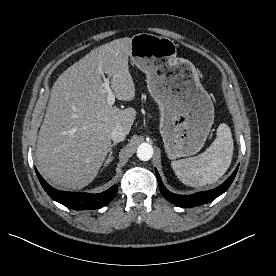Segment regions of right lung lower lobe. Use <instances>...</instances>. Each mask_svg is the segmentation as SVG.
I'll return each instance as SVG.
<instances>
[{
	"label": "right lung lower lobe",
	"mask_w": 276,
	"mask_h": 276,
	"mask_svg": "<svg viewBox=\"0 0 276 276\" xmlns=\"http://www.w3.org/2000/svg\"><path fill=\"white\" fill-rule=\"evenodd\" d=\"M37 177L47 194L60 204L74 210L97 209L110 202L117 193V185L99 193L64 192L51 187L36 170Z\"/></svg>",
	"instance_id": "98d812e1"
}]
</instances>
